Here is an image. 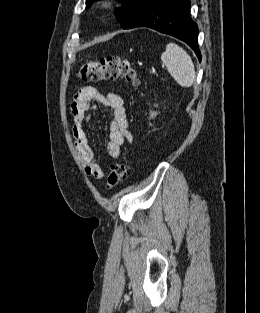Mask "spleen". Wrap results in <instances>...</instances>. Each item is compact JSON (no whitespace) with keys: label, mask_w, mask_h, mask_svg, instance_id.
Wrapping results in <instances>:
<instances>
[{"label":"spleen","mask_w":260,"mask_h":313,"mask_svg":"<svg viewBox=\"0 0 260 313\" xmlns=\"http://www.w3.org/2000/svg\"><path fill=\"white\" fill-rule=\"evenodd\" d=\"M161 61L174 80L182 87H191L195 82V67L188 53L176 43H168L161 54Z\"/></svg>","instance_id":"spleen-1"}]
</instances>
